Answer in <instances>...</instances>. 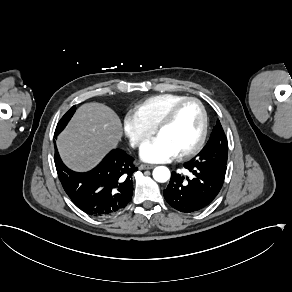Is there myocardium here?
<instances>
[{
	"mask_svg": "<svg viewBox=\"0 0 292 292\" xmlns=\"http://www.w3.org/2000/svg\"><path fill=\"white\" fill-rule=\"evenodd\" d=\"M188 102L196 103L200 110V115H201L200 132L195 143L192 146L188 147L187 149L181 151L180 156H188V155L196 153L202 147L205 141V137L207 133V114L202 102L195 97H185L183 99L176 101L163 113V115L159 118L155 126V133L158 134L159 131L164 126H166L168 123H170L174 119L178 109L183 104L188 103Z\"/></svg>",
	"mask_w": 292,
	"mask_h": 292,
	"instance_id": "obj_1",
	"label": "myocardium"
}]
</instances>
